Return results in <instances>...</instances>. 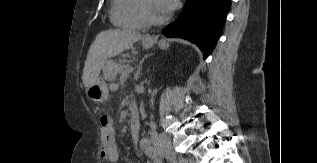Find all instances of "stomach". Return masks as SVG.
<instances>
[{
  "label": "stomach",
  "mask_w": 317,
  "mask_h": 163,
  "mask_svg": "<svg viewBox=\"0 0 317 163\" xmlns=\"http://www.w3.org/2000/svg\"><path fill=\"white\" fill-rule=\"evenodd\" d=\"M142 46L143 48L148 49L152 46V44L142 42ZM159 46L161 48H167L168 44H166L164 41H160ZM86 95L94 103H103L104 101H106L109 96V90L105 81L99 78L95 84L87 87Z\"/></svg>",
  "instance_id": "0dacf381"
}]
</instances>
